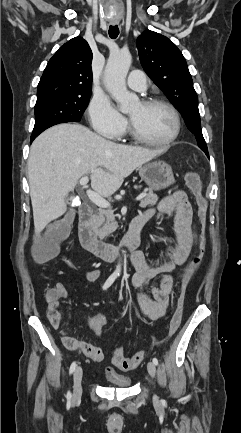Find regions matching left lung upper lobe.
<instances>
[{
  "label": "left lung upper lobe",
  "mask_w": 241,
  "mask_h": 433,
  "mask_svg": "<svg viewBox=\"0 0 241 433\" xmlns=\"http://www.w3.org/2000/svg\"><path fill=\"white\" fill-rule=\"evenodd\" d=\"M136 45L145 72L181 111L198 146L208 151L201 130L198 97L181 51L167 37L150 30L138 37Z\"/></svg>",
  "instance_id": "left-lung-upper-lobe-1"
}]
</instances>
